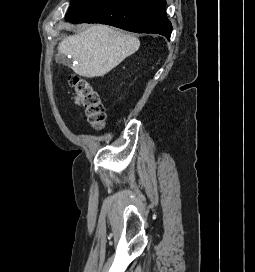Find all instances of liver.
Wrapping results in <instances>:
<instances>
[{"label": "liver", "mask_w": 255, "mask_h": 272, "mask_svg": "<svg viewBox=\"0 0 255 272\" xmlns=\"http://www.w3.org/2000/svg\"><path fill=\"white\" fill-rule=\"evenodd\" d=\"M137 37L107 25H92L63 39L58 53L70 56L73 71L83 77H102L138 50Z\"/></svg>", "instance_id": "1"}]
</instances>
